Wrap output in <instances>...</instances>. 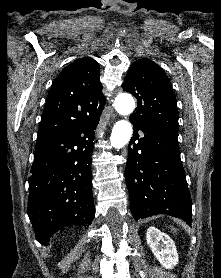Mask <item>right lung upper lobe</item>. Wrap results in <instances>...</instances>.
Segmentation results:
<instances>
[{
	"instance_id": "cb5924a9",
	"label": "right lung upper lobe",
	"mask_w": 221,
	"mask_h": 278,
	"mask_svg": "<svg viewBox=\"0 0 221 278\" xmlns=\"http://www.w3.org/2000/svg\"><path fill=\"white\" fill-rule=\"evenodd\" d=\"M99 76L98 63L89 57L77 59L62 70L48 93L36 147L87 119L99 118L105 104Z\"/></svg>"
}]
</instances>
